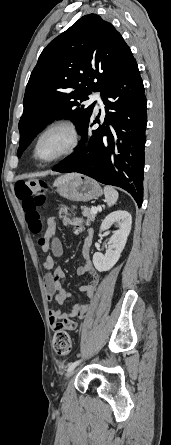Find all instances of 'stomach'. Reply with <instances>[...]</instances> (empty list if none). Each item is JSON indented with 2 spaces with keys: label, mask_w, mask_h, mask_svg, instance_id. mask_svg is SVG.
<instances>
[{
  "label": "stomach",
  "mask_w": 171,
  "mask_h": 445,
  "mask_svg": "<svg viewBox=\"0 0 171 445\" xmlns=\"http://www.w3.org/2000/svg\"><path fill=\"white\" fill-rule=\"evenodd\" d=\"M54 185L60 196L71 201L88 202L102 195L99 184L83 175L58 178Z\"/></svg>",
  "instance_id": "1"
}]
</instances>
